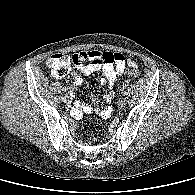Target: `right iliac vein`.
<instances>
[{"mask_svg":"<svg viewBox=\"0 0 195 195\" xmlns=\"http://www.w3.org/2000/svg\"><path fill=\"white\" fill-rule=\"evenodd\" d=\"M62 101L66 104H69L70 102V97L68 94H64L63 97H62Z\"/></svg>","mask_w":195,"mask_h":195,"instance_id":"63e3f726","label":"right iliac vein"}]
</instances>
